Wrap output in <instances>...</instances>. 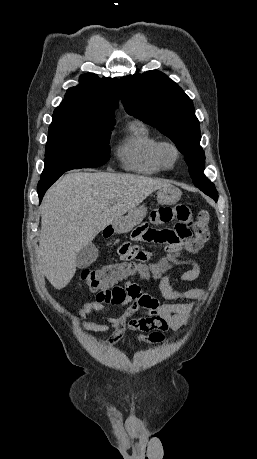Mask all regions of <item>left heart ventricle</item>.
Returning <instances> with one entry per match:
<instances>
[{
	"label": "left heart ventricle",
	"instance_id": "b2bd125f",
	"mask_svg": "<svg viewBox=\"0 0 257 459\" xmlns=\"http://www.w3.org/2000/svg\"><path fill=\"white\" fill-rule=\"evenodd\" d=\"M165 155H166V159H167L169 162H171V161L173 160L174 155H173V153H172L170 150H167Z\"/></svg>",
	"mask_w": 257,
	"mask_h": 459
}]
</instances>
